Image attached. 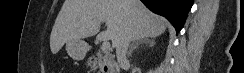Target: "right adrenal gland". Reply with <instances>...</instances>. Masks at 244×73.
Listing matches in <instances>:
<instances>
[{"label":"right adrenal gland","mask_w":244,"mask_h":73,"mask_svg":"<svg viewBox=\"0 0 244 73\" xmlns=\"http://www.w3.org/2000/svg\"><path fill=\"white\" fill-rule=\"evenodd\" d=\"M143 44L153 46L155 44V41L153 39H148V38H144V39L134 41L132 43V45L130 46L128 55L130 56L134 49H136L139 45H143Z\"/></svg>","instance_id":"1"}]
</instances>
